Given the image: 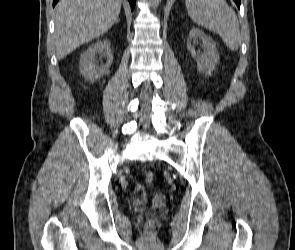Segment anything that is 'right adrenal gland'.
Segmentation results:
<instances>
[{"label":"right adrenal gland","instance_id":"2a0ac1e0","mask_svg":"<svg viewBox=\"0 0 295 250\" xmlns=\"http://www.w3.org/2000/svg\"><path fill=\"white\" fill-rule=\"evenodd\" d=\"M116 22H119V18L116 19Z\"/></svg>","mask_w":295,"mask_h":250}]
</instances>
